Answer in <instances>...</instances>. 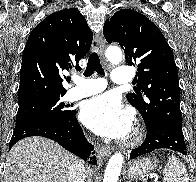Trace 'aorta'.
I'll use <instances>...</instances> for the list:
<instances>
[{
    "instance_id": "762f6f07",
    "label": "aorta",
    "mask_w": 196,
    "mask_h": 182,
    "mask_svg": "<svg viewBox=\"0 0 196 182\" xmlns=\"http://www.w3.org/2000/svg\"><path fill=\"white\" fill-rule=\"evenodd\" d=\"M106 57L110 62L117 64L121 62L123 58V54L119 48L110 47L106 50ZM123 161H124V158L120 152L115 153L110 157L107 167L105 169L103 182H117L118 181V178L121 173Z\"/></svg>"
}]
</instances>
